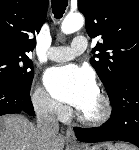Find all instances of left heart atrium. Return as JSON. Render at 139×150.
Masks as SVG:
<instances>
[{"instance_id": "39dd6f15", "label": "left heart atrium", "mask_w": 139, "mask_h": 150, "mask_svg": "<svg viewBox=\"0 0 139 150\" xmlns=\"http://www.w3.org/2000/svg\"><path fill=\"white\" fill-rule=\"evenodd\" d=\"M45 85L54 98L79 110L98 96L93 74L76 65L51 68L45 75Z\"/></svg>"}]
</instances>
